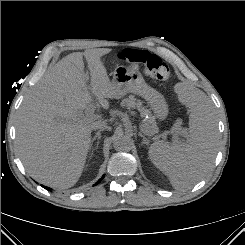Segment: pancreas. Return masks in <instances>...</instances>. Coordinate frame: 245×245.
Wrapping results in <instances>:
<instances>
[{
  "mask_svg": "<svg viewBox=\"0 0 245 245\" xmlns=\"http://www.w3.org/2000/svg\"><path fill=\"white\" fill-rule=\"evenodd\" d=\"M122 105L127 107L128 109H132V108H136L138 109L141 114L143 116H148V118L145 120L144 122V128L148 131L151 132V134H155L157 132V125H156V122H155V117L152 116L150 110L148 109H145L143 106H142V103L137 100L134 96H129L127 99H125L123 102H122Z\"/></svg>",
  "mask_w": 245,
  "mask_h": 245,
  "instance_id": "1",
  "label": "pancreas"
}]
</instances>
